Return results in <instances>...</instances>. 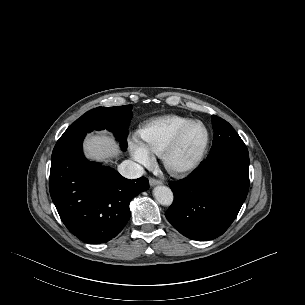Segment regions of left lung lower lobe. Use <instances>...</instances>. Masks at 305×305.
I'll list each match as a JSON object with an SVG mask.
<instances>
[{
  "label": "left lung lower lobe",
  "mask_w": 305,
  "mask_h": 305,
  "mask_svg": "<svg viewBox=\"0 0 305 305\" xmlns=\"http://www.w3.org/2000/svg\"><path fill=\"white\" fill-rule=\"evenodd\" d=\"M169 186L174 202L165 213L168 221L190 239H215L231 225L246 199L248 152L208 157L186 179Z\"/></svg>",
  "instance_id": "0a47b994"
}]
</instances>
